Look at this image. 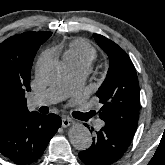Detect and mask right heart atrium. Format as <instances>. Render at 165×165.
<instances>
[{"instance_id":"d8ad5b80","label":"right heart atrium","mask_w":165,"mask_h":165,"mask_svg":"<svg viewBox=\"0 0 165 165\" xmlns=\"http://www.w3.org/2000/svg\"><path fill=\"white\" fill-rule=\"evenodd\" d=\"M48 57H49L48 52H43L41 54L36 64V70H38L41 67V65L48 59Z\"/></svg>"}]
</instances>
